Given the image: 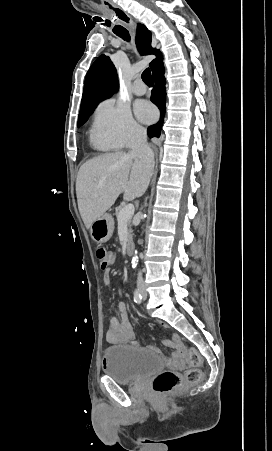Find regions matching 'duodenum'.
I'll return each instance as SVG.
<instances>
[{"mask_svg": "<svg viewBox=\"0 0 272 451\" xmlns=\"http://www.w3.org/2000/svg\"><path fill=\"white\" fill-rule=\"evenodd\" d=\"M134 251V246L132 243L127 244L126 252L128 255H132Z\"/></svg>", "mask_w": 272, "mask_h": 451, "instance_id": "duodenum-1", "label": "duodenum"}]
</instances>
